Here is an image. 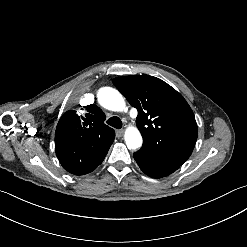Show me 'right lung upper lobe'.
Returning a JSON list of instances; mask_svg holds the SVG:
<instances>
[{
	"label": "right lung upper lobe",
	"instance_id": "right-lung-upper-lobe-1",
	"mask_svg": "<svg viewBox=\"0 0 247 247\" xmlns=\"http://www.w3.org/2000/svg\"><path fill=\"white\" fill-rule=\"evenodd\" d=\"M85 115L69 110L60 118L55 132V149L64 169L84 167L102 161L115 138L104 123L105 114L94 105L85 106Z\"/></svg>",
	"mask_w": 247,
	"mask_h": 247
}]
</instances>
